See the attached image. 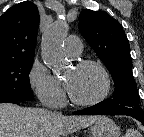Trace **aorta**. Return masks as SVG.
Listing matches in <instances>:
<instances>
[{"label":"aorta","instance_id":"1","mask_svg":"<svg viewBox=\"0 0 144 137\" xmlns=\"http://www.w3.org/2000/svg\"><path fill=\"white\" fill-rule=\"evenodd\" d=\"M67 30L66 21L58 19L42 38L41 54L43 61L54 71L60 70L66 64L63 47Z\"/></svg>","mask_w":144,"mask_h":137}]
</instances>
